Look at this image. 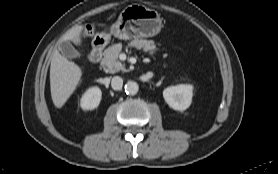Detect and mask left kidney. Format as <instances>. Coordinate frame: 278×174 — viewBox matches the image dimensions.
<instances>
[{
	"mask_svg": "<svg viewBox=\"0 0 278 174\" xmlns=\"http://www.w3.org/2000/svg\"><path fill=\"white\" fill-rule=\"evenodd\" d=\"M192 91V85L180 84L164 89L163 97L171 108L178 111H184L192 102Z\"/></svg>",
	"mask_w": 278,
	"mask_h": 174,
	"instance_id": "obj_1",
	"label": "left kidney"
}]
</instances>
